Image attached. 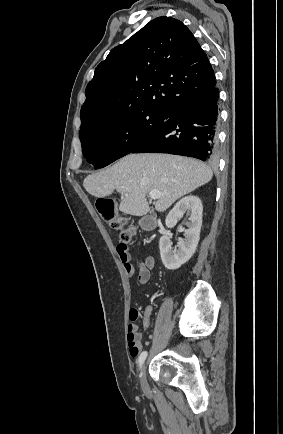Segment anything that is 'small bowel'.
Listing matches in <instances>:
<instances>
[{
  "label": "small bowel",
  "instance_id": "c3829d8e",
  "mask_svg": "<svg viewBox=\"0 0 283 434\" xmlns=\"http://www.w3.org/2000/svg\"><path fill=\"white\" fill-rule=\"evenodd\" d=\"M117 253L123 264L126 274L129 277L137 274V280L140 285L146 284L150 277L151 271L156 266V259L148 256L144 261H136L128 252L127 248L121 244L117 246ZM152 309L146 308L142 317L143 331H147L151 326ZM142 331L139 330L135 323H130L127 329V344L131 357H137L142 349L141 346Z\"/></svg>",
  "mask_w": 283,
  "mask_h": 434
}]
</instances>
